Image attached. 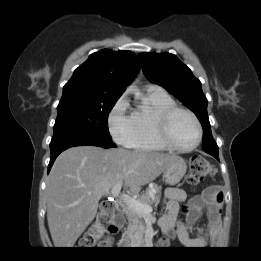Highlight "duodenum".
<instances>
[{"mask_svg": "<svg viewBox=\"0 0 261 261\" xmlns=\"http://www.w3.org/2000/svg\"><path fill=\"white\" fill-rule=\"evenodd\" d=\"M124 220V210L118 205L117 206V216H114L108 224L107 232L109 234H115L118 229L123 225ZM143 242V238L141 235L135 236L132 242L129 243L130 246L138 245Z\"/></svg>", "mask_w": 261, "mask_h": 261, "instance_id": "1", "label": "duodenum"}]
</instances>
